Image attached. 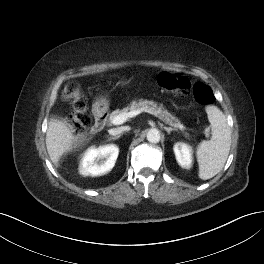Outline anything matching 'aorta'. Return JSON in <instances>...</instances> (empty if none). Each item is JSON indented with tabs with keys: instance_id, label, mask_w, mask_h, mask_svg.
Returning a JSON list of instances; mask_svg holds the SVG:
<instances>
[{
	"instance_id": "obj_1",
	"label": "aorta",
	"mask_w": 264,
	"mask_h": 264,
	"mask_svg": "<svg viewBox=\"0 0 264 264\" xmlns=\"http://www.w3.org/2000/svg\"><path fill=\"white\" fill-rule=\"evenodd\" d=\"M147 140L150 143H158L160 141V132L156 128H151L147 133Z\"/></svg>"
}]
</instances>
